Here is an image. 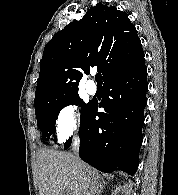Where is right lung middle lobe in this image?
<instances>
[{
	"label": "right lung middle lobe",
	"mask_w": 178,
	"mask_h": 195,
	"mask_svg": "<svg viewBox=\"0 0 178 195\" xmlns=\"http://www.w3.org/2000/svg\"><path fill=\"white\" fill-rule=\"evenodd\" d=\"M82 99L78 93L46 101L35 108L37 125L42 131L43 140L48 141L49 137L56 131L55 121L58 117L60 110L68 105H79ZM91 103L83 104L82 116L88 110ZM71 139V138H70Z\"/></svg>",
	"instance_id": "1"
}]
</instances>
